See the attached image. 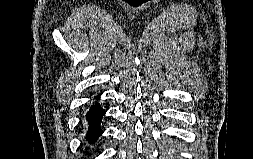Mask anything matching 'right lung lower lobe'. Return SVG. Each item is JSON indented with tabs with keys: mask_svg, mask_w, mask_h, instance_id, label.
Masks as SVG:
<instances>
[{
	"mask_svg": "<svg viewBox=\"0 0 253 159\" xmlns=\"http://www.w3.org/2000/svg\"><path fill=\"white\" fill-rule=\"evenodd\" d=\"M104 114L105 110H103L100 105L93 106L87 113L86 118L90 125L87 133V139L89 142H94L102 134L99 123Z\"/></svg>",
	"mask_w": 253,
	"mask_h": 159,
	"instance_id": "1",
	"label": "right lung lower lobe"
}]
</instances>
